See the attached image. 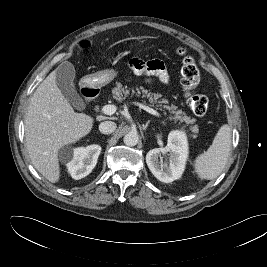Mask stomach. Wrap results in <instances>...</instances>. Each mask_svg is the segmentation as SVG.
Masks as SVG:
<instances>
[{
    "mask_svg": "<svg viewBox=\"0 0 267 267\" xmlns=\"http://www.w3.org/2000/svg\"><path fill=\"white\" fill-rule=\"evenodd\" d=\"M116 76L117 72L114 69H104L86 76L85 82L93 88H101L110 83Z\"/></svg>",
    "mask_w": 267,
    "mask_h": 267,
    "instance_id": "stomach-1",
    "label": "stomach"
}]
</instances>
